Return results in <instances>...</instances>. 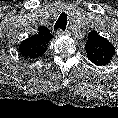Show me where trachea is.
Returning a JSON list of instances; mask_svg holds the SVG:
<instances>
[{
	"instance_id": "obj_1",
	"label": "trachea",
	"mask_w": 118,
	"mask_h": 118,
	"mask_svg": "<svg viewBox=\"0 0 118 118\" xmlns=\"http://www.w3.org/2000/svg\"><path fill=\"white\" fill-rule=\"evenodd\" d=\"M67 14L62 13L54 25V30L61 29L65 31L67 25Z\"/></svg>"
}]
</instances>
